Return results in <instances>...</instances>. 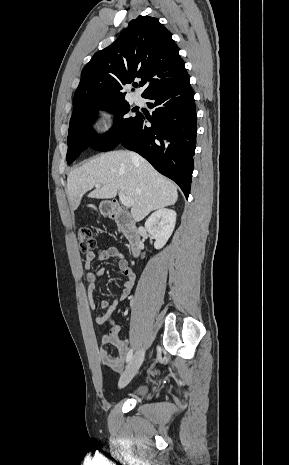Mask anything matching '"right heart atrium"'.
<instances>
[{"label":"right heart atrium","instance_id":"obj_1","mask_svg":"<svg viewBox=\"0 0 289 465\" xmlns=\"http://www.w3.org/2000/svg\"><path fill=\"white\" fill-rule=\"evenodd\" d=\"M100 131L103 134H111L117 124V115L116 113L109 107H103L100 110Z\"/></svg>","mask_w":289,"mask_h":465}]
</instances>
